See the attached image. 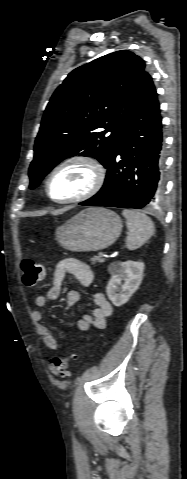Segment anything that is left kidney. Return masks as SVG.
I'll return each mask as SVG.
<instances>
[{
  "label": "left kidney",
  "mask_w": 187,
  "mask_h": 479,
  "mask_svg": "<svg viewBox=\"0 0 187 479\" xmlns=\"http://www.w3.org/2000/svg\"><path fill=\"white\" fill-rule=\"evenodd\" d=\"M144 267L143 262L135 261H117L109 265L108 271L111 274V279L106 292L114 306H122L136 292L143 278Z\"/></svg>",
  "instance_id": "1"
}]
</instances>
